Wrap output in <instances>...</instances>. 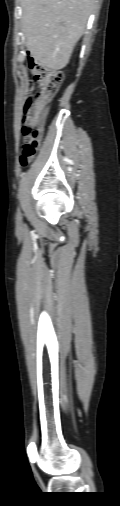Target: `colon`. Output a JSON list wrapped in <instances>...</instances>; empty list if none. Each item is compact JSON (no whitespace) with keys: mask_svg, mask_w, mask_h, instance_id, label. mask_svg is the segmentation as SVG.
<instances>
[{"mask_svg":"<svg viewBox=\"0 0 120 506\" xmlns=\"http://www.w3.org/2000/svg\"><path fill=\"white\" fill-rule=\"evenodd\" d=\"M21 55L25 62L29 64L37 83L35 95L26 100L22 119L24 145L20 163L22 167H27L40 146L47 106L60 86L62 73L35 63V57L30 50H23Z\"/></svg>","mask_w":120,"mask_h":506,"instance_id":"1","label":"colon"}]
</instances>
